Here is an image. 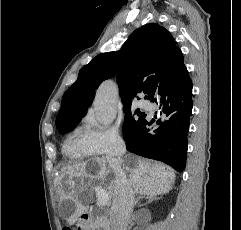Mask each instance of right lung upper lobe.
Instances as JSON below:
<instances>
[{"label": "right lung upper lobe", "mask_w": 241, "mask_h": 230, "mask_svg": "<svg viewBox=\"0 0 241 230\" xmlns=\"http://www.w3.org/2000/svg\"><path fill=\"white\" fill-rule=\"evenodd\" d=\"M183 62V54L167 29L156 23L144 25L119 51L99 54L80 70L77 81L62 97L57 129L63 131L81 121L103 80L117 75L122 102L127 107L137 93L143 92L149 99L161 80Z\"/></svg>", "instance_id": "1"}]
</instances>
